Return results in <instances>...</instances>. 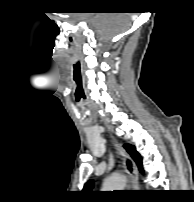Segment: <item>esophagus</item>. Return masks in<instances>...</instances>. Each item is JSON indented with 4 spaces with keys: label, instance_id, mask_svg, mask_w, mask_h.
<instances>
[{
    "label": "esophagus",
    "instance_id": "obj_1",
    "mask_svg": "<svg viewBox=\"0 0 194 202\" xmlns=\"http://www.w3.org/2000/svg\"><path fill=\"white\" fill-rule=\"evenodd\" d=\"M116 147L122 157L124 168L130 177L132 186L134 188H137L138 187V170L134 161L127 154V152L123 149L121 145L116 144Z\"/></svg>",
    "mask_w": 194,
    "mask_h": 202
}]
</instances>
